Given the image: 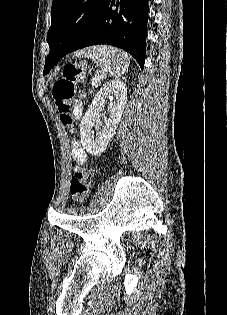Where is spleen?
Wrapping results in <instances>:
<instances>
[{
    "instance_id": "3e777b00",
    "label": "spleen",
    "mask_w": 227,
    "mask_h": 315,
    "mask_svg": "<svg viewBox=\"0 0 227 315\" xmlns=\"http://www.w3.org/2000/svg\"><path fill=\"white\" fill-rule=\"evenodd\" d=\"M76 57L91 58L101 66V71L109 72L110 75L115 78L123 75L129 66L127 54L113 47H94L88 51L83 50L77 52Z\"/></svg>"
}]
</instances>
